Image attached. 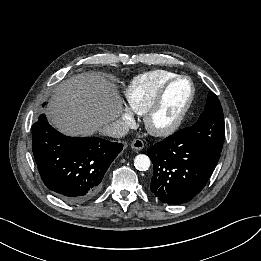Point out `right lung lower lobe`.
I'll use <instances>...</instances> for the list:
<instances>
[{"label":"right lung lower lobe","mask_w":261,"mask_h":261,"mask_svg":"<svg viewBox=\"0 0 261 261\" xmlns=\"http://www.w3.org/2000/svg\"><path fill=\"white\" fill-rule=\"evenodd\" d=\"M32 149L44 184L59 198L83 202L94 196L123 145L98 137H68L44 114L32 126Z\"/></svg>","instance_id":"1"}]
</instances>
